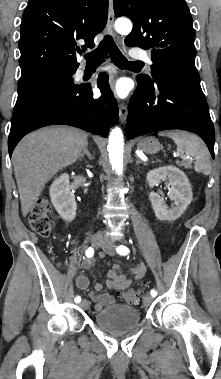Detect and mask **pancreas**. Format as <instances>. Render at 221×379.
Returning <instances> with one entry per match:
<instances>
[{"instance_id": "cf45deb5", "label": "pancreas", "mask_w": 221, "mask_h": 379, "mask_svg": "<svg viewBox=\"0 0 221 379\" xmlns=\"http://www.w3.org/2000/svg\"><path fill=\"white\" fill-rule=\"evenodd\" d=\"M181 166H184L185 168H191V165L188 163L182 164Z\"/></svg>"}]
</instances>
